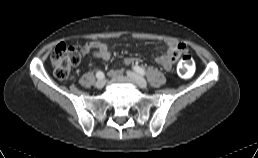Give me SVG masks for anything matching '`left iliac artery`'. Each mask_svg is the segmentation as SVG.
Listing matches in <instances>:
<instances>
[{
    "instance_id": "obj_1",
    "label": "left iliac artery",
    "mask_w": 258,
    "mask_h": 158,
    "mask_svg": "<svg viewBox=\"0 0 258 158\" xmlns=\"http://www.w3.org/2000/svg\"><path fill=\"white\" fill-rule=\"evenodd\" d=\"M133 69L139 73L140 75L144 76L145 75V70L142 67L139 66H134Z\"/></svg>"
}]
</instances>
